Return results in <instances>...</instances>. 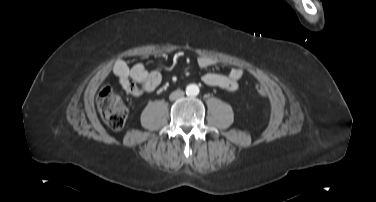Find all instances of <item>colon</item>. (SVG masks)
Listing matches in <instances>:
<instances>
[{
	"instance_id": "1",
	"label": "colon",
	"mask_w": 376,
	"mask_h": 202,
	"mask_svg": "<svg viewBox=\"0 0 376 202\" xmlns=\"http://www.w3.org/2000/svg\"><path fill=\"white\" fill-rule=\"evenodd\" d=\"M256 91L259 95H264L266 89L262 85H257ZM97 108L103 121L114 130L124 127L128 117V107L121 96L115 94L110 87H104L97 97Z\"/></svg>"
}]
</instances>
